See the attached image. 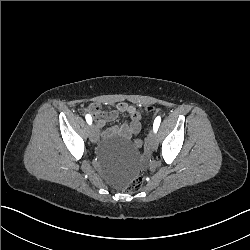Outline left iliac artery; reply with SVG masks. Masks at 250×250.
I'll use <instances>...</instances> for the list:
<instances>
[{"label":"left iliac artery","instance_id":"44dca946","mask_svg":"<svg viewBox=\"0 0 250 250\" xmlns=\"http://www.w3.org/2000/svg\"><path fill=\"white\" fill-rule=\"evenodd\" d=\"M160 122H161L160 116L156 117V119L154 120V124H153V130L155 133L157 132L159 128Z\"/></svg>","mask_w":250,"mask_h":250}]
</instances>
